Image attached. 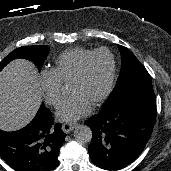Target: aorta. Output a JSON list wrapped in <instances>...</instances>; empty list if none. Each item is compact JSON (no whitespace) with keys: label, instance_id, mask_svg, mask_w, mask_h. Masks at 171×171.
Listing matches in <instances>:
<instances>
[{"label":"aorta","instance_id":"762f6f07","mask_svg":"<svg viewBox=\"0 0 171 171\" xmlns=\"http://www.w3.org/2000/svg\"><path fill=\"white\" fill-rule=\"evenodd\" d=\"M74 138L78 143L85 144L92 139V130L89 126L79 125L74 130Z\"/></svg>","mask_w":171,"mask_h":171}]
</instances>
